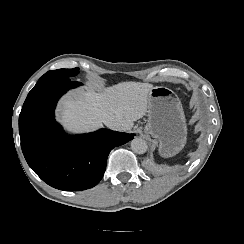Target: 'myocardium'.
<instances>
[{
	"mask_svg": "<svg viewBox=\"0 0 244 244\" xmlns=\"http://www.w3.org/2000/svg\"><path fill=\"white\" fill-rule=\"evenodd\" d=\"M108 169H109V167H108V165H107L106 170H108Z\"/></svg>",
	"mask_w": 244,
	"mask_h": 244,
	"instance_id": "myocardium-1",
	"label": "myocardium"
}]
</instances>
